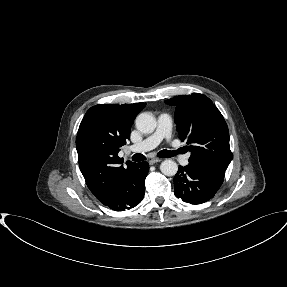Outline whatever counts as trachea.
Here are the masks:
<instances>
[{
    "label": "trachea",
    "instance_id": "obj_1",
    "mask_svg": "<svg viewBox=\"0 0 287 287\" xmlns=\"http://www.w3.org/2000/svg\"><path fill=\"white\" fill-rule=\"evenodd\" d=\"M177 153H181V150H178V151L162 150L158 152L157 156L161 158L172 157V156H175ZM132 160L136 162L144 161L146 160V157L143 154L137 153L132 156Z\"/></svg>",
    "mask_w": 287,
    "mask_h": 287
}]
</instances>
